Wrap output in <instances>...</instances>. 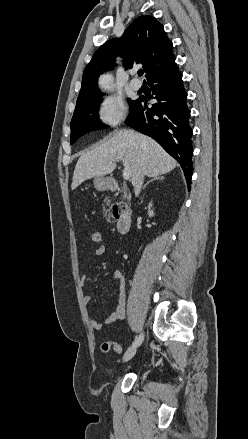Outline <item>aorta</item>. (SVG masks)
I'll return each instance as SVG.
<instances>
[{
    "label": "aorta",
    "instance_id": "762f6f07",
    "mask_svg": "<svg viewBox=\"0 0 248 439\" xmlns=\"http://www.w3.org/2000/svg\"><path fill=\"white\" fill-rule=\"evenodd\" d=\"M112 80L113 79L110 74H104L99 79V85L103 90L107 91L111 86Z\"/></svg>",
    "mask_w": 248,
    "mask_h": 439
}]
</instances>
